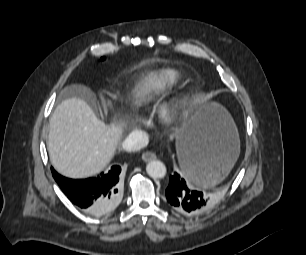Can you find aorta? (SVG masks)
I'll return each mask as SVG.
<instances>
[{
	"label": "aorta",
	"instance_id": "762f6f07",
	"mask_svg": "<svg viewBox=\"0 0 306 255\" xmlns=\"http://www.w3.org/2000/svg\"><path fill=\"white\" fill-rule=\"evenodd\" d=\"M146 172L150 177L154 179H160L166 176L167 170L163 162L159 160H153L146 165Z\"/></svg>",
	"mask_w": 306,
	"mask_h": 255
}]
</instances>
